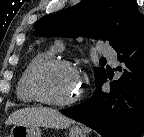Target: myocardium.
Wrapping results in <instances>:
<instances>
[{
  "label": "myocardium",
  "instance_id": "f54148a6",
  "mask_svg": "<svg viewBox=\"0 0 144 137\" xmlns=\"http://www.w3.org/2000/svg\"><path fill=\"white\" fill-rule=\"evenodd\" d=\"M57 67H64L74 71L78 76L79 72L77 67L71 63L70 61L63 60V59H56V58H48L45 59L34 66L32 69L29 79H28V88L30 93L34 96V98L46 105L53 106V107H67L74 105L78 102L81 98L82 89L79 88L77 94L69 100L65 101H56L53 99L48 98L40 88L39 79L45 71Z\"/></svg>",
  "mask_w": 144,
  "mask_h": 137
}]
</instances>
